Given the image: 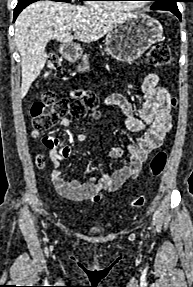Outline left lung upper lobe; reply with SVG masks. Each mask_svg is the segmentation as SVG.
Returning <instances> with one entry per match:
<instances>
[{
    "instance_id": "left-lung-upper-lobe-1",
    "label": "left lung upper lobe",
    "mask_w": 193,
    "mask_h": 287,
    "mask_svg": "<svg viewBox=\"0 0 193 287\" xmlns=\"http://www.w3.org/2000/svg\"><path fill=\"white\" fill-rule=\"evenodd\" d=\"M155 1L151 6L152 10H168L177 8L176 2L179 0H152Z\"/></svg>"
}]
</instances>
